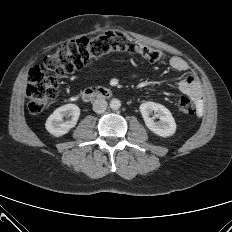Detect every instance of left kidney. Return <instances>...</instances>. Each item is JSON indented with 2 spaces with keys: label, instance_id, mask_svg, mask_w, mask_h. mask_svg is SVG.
Instances as JSON below:
<instances>
[{
  "label": "left kidney",
  "instance_id": "left-kidney-1",
  "mask_svg": "<svg viewBox=\"0 0 232 232\" xmlns=\"http://www.w3.org/2000/svg\"><path fill=\"white\" fill-rule=\"evenodd\" d=\"M147 128L161 137L172 136L176 131V123L171 112L163 105L155 102H145L139 107ZM154 112L159 121L150 117Z\"/></svg>",
  "mask_w": 232,
  "mask_h": 232
}]
</instances>
